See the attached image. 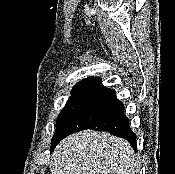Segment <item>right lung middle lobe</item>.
<instances>
[{
	"instance_id": "obj_1",
	"label": "right lung middle lobe",
	"mask_w": 175,
	"mask_h": 174,
	"mask_svg": "<svg viewBox=\"0 0 175 174\" xmlns=\"http://www.w3.org/2000/svg\"><path fill=\"white\" fill-rule=\"evenodd\" d=\"M88 96L89 94H72L69 97L68 101L65 104V107L58 116L56 131L52 138V145L61 139L72 118L86 101Z\"/></svg>"
}]
</instances>
